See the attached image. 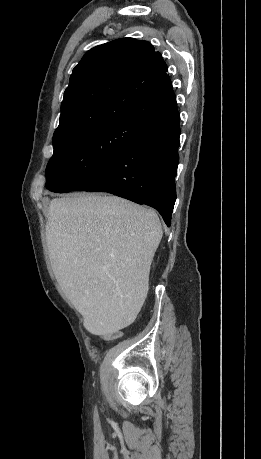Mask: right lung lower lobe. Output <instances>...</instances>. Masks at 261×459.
Listing matches in <instances>:
<instances>
[{
    "label": "right lung lower lobe",
    "instance_id": "1",
    "mask_svg": "<svg viewBox=\"0 0 261 459\" xmlns=\"http://www.w3.org/2000/svg\"><path fill=\"white\" fill-rule=\"evenodd\" d=\"M179 123L177 108L155 120L120 155L73 190L108 192L149 205L170 226L176 200Z\"/></svg>",
    "mask_w": 261,
    "mask_h": 459
}]
</instances>
